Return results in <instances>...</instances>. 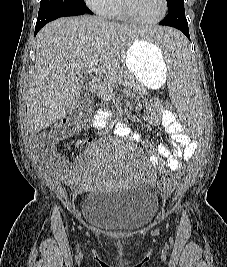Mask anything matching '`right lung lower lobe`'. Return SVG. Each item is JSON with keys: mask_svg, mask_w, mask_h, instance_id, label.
Returning a JSON list of instances; mask_svg holds the SVG:
<instances>
[{"mask_svg": "<svg viewBox=\"0 0 227 267\" xmlns=\"http://www.w3.org/2000/svg\"><path fill=\"white\" fill-rule=\"evenodd\" d=\"M93 14L87 7L70 8V7H40L37 23L35 26V35L38 31L48 22L55 20L59 17L77 16L83 14Z\"/></svg>", "mask_w": 227, "mask_h": 267, "instance_id": "right-lung-lower-lobe-1", "label": "right lung lower lobe"}]
</instances>
